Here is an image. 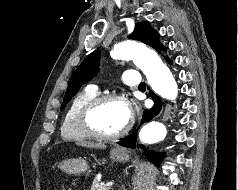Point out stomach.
<instances>
[{"instance_id": "0dacf381", "label": "stomach", "mask_w": 238, "mask_h": 190, "mask_svg": "<svg viewBox=\"0 0 238 190\" xmlns=\"http://www.w3.org/2000/svg\"><path fill=\"white\" fill-rule=\"evenodd\" d=\"M110 158L116 162H126L129 160V153L124 148L116 147L110 151ZM58 167L68 174H82L89 169L88 163L83 159H67Z\"/></svg>"}]
</instances>
